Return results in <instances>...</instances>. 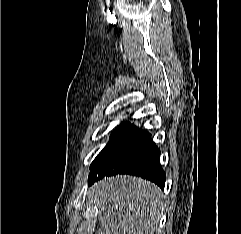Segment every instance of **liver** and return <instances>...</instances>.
Instances as JSON below:
<instances>
[{"label":"liver","mask_w":241,"mask_h":234,"mask_svg":"<svg viewBox=\"0 0 241 234\" xmlns=\"http://www.w3.org/2000/svg\"><path fill=\"white\" fill-rule=\"evenodd\" d=\"M88 199L98 213L97 234H154L165 196L149 181L118 175L95 183Z\"/></svg>","instance_id":"6515ba94"}]
</instances>
